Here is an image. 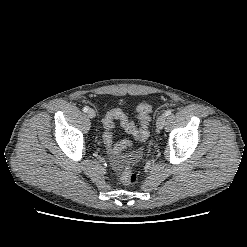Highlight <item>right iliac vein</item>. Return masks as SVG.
<instances>
[{
    "label": "right iliac vein",
    "mask_w": 247,
    "mask_h": 247,
    "mask_svg": "<svg viewBox=\"0 0 247 247\" xmlns=\"http://www.w3.org/2000/svg\"><path fill=\"white\" fill-rule=\"evenodd\" d=\"M87 115H88L89 118H94L96 116V113H95V111L93 109H89L87 111Z\"/></svg>",
    "instance_id": "right-iliac-vein-1"
}]
</instances>
